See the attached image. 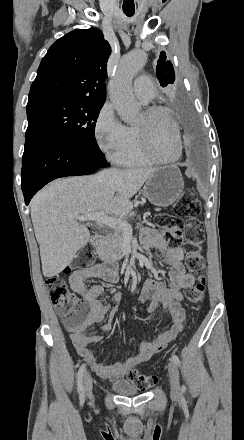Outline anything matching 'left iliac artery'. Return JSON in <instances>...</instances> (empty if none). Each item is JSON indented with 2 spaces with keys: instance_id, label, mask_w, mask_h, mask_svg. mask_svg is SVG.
Returning <instances> with one entry per match:
<instances>
[{
  "instance_id": "1",
  "label": "left iliac artery",
  "mask_w": 244,
  "mask_h": 440,
  "mask_svg": "<svg viewBox=\"0 0 244 440\" xmlns=\"http://www.w3.org/2000/svg\"><path fill=\"white\" fill-rule=\"evenodd\" d=\"M171 361H173L176 365H178V366H180V360H179V358H178V356L177 355H172L171 356ZM182 389H184V386H182Z\"/></svg>"
}]
</instances>
